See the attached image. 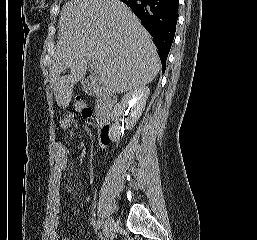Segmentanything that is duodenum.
<instances>
[{
    "label": "duodenum",
    "mask_w": 257,
    "mask_h": 240,
    "mask_svg": "<svg viewBox=\"0 0 257 240\" xmlns=\"http://www.w3.org/2000/svg\"><path fill=\"white\" fill-rule=\"evenodd\" d=\"M83 87L86 93L99 97L103 102L104 113L102 115V120L100 124L98 141L101 147H106L111 140V114L116 105V99L111 94L97 88L88 80L83 81Z\"/></svg>",
    "instance_id": "duodenum-1"
}]
</instances>
